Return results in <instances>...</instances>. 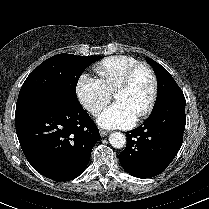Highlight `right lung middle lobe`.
Instances as JSON below:
<instances>
[{
	"instance_id": "1",
	"label": "right lung middle lobe",
	"mask_w": 209,
	"mask_h": 209,
	"mask_svg": "<svg viewBox=\"0 0 209 209\" xmlns=\"http://www.w3.org/2000/svg\"><path fill=\"white\" fill-rule=\"evenodd\" d=\"M101 56L58 54L41 63L23 83L16 109L48 94H59L78 101L76 85L82 72Z\"/></svg>"
}]
</instances>
